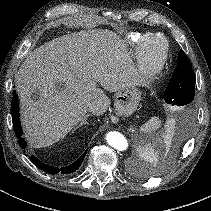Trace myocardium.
<instances>
[{
  "label": "myocardium",
  "instance_id": "f54148a6",
  "mask_svg": "<svg viewBox=\"0 0 211 211\" xmlns=\"http://www.w3.org/2000/svg\"><path fill=\"white\" fill-rule=\"evenodd\" d=\"M151 38H159L163 43L162 52L155 60L146 54V44ZM169 49V42L161 33H149L142 38L137 46V76L141 83H150L161 72L168 60Z\"/></svg>",
  "mask_w": 211,
  "mask_h": 211
}]
</instances>
